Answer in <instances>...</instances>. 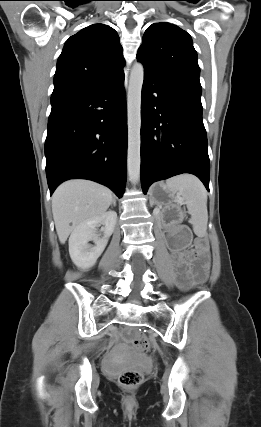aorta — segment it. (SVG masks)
Listing matches in <instances>:
<instances>
[{
	"mask_svg": "<svg viewBox=\"0 0 261 427\" xmlns=\"http://www.w3.org/2000/svg\"><path fill=\"white\" fill-rule=\"evenodd\" d=\"M144 80V67L136 62L130 73L127 96L128 153L127 169L129 179L137 183L141 165V91Z\"/></svg>",
	"mask_w": 261,
	"mask_h": 427,
	"instance_id": "aorta-1",
	"label": "aorta"
}]
</instances>
